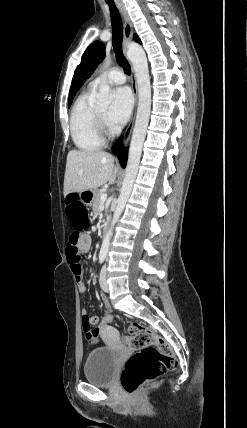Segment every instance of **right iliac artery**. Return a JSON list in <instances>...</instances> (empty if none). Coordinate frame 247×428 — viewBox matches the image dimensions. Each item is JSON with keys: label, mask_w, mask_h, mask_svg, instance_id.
Returning a JSON list of instances; mask_svg holds the SVG:
<instances>
[{"label": "right iliac artery", "mask_w": 247, "mask_h": 428, "mask_svg": "<svg viewBox=\"0 0 247 428\" xmlns=\"http://www.w3.org/2000/svg\"><path fill=\"white\" fill-rule=\"evenodd\" d=\"M105 257L104 256H100L99 257V262L102 264L104 262Z\"/></svg>", "instance_id": "right-iliac-artery-1"}]
</instances>
